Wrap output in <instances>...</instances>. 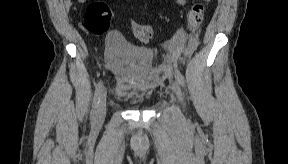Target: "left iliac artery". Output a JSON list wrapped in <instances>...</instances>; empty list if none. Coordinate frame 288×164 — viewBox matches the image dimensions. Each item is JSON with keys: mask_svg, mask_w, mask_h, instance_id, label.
<instances>
[{"mask_svg": "<svg viewBox=\"0 0 288 164\" xmlns=\"http://www.w3.org/2000/svg\"><path fill=\"white\" fill-rule=\"evenodd\" d=\"M175 77H176L177 81L179 82V84L182 87H184L185 86V79H184L183 75L180 72H176Z\"/></svg>", "mask_w": 288, "mask_h": 164, "instance_id": "left-iliac-artery-1", "label": "left iliac artery"}]
</instances>
